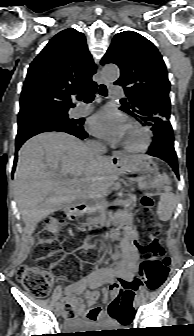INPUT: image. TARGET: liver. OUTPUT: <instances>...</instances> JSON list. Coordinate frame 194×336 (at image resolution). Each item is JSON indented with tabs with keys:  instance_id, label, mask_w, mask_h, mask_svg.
I'll list each match as a JSON object with an SVG mask.
<instances>
[{
	"instance_id": "1",
	"label": "liver",
	"mask_w": 194,
	"mask_h": 336,
	"mask_svg": "<svg viewBox=\"0 0 194 336\" xmlns=\"http://www.w3.org/2000/svg\"><path fill=\"white\" fill-rule=\"evenodd\" d=\"M68 174L75 179H61ZM120 174L113 158L90 155L86 144L74 136L48 132L30 138L19 150L14 175L25 232L31 235L42 219L76 199L106 194Z\"/></svg>"
}]
</instances>
